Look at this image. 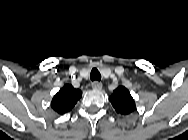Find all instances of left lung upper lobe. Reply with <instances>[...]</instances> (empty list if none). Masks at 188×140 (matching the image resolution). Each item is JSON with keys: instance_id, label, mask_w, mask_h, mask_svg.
<instances>
[{"instance_id": "1", "label": "left lung upper lobe", "mask_w": 188, "mask_h": 140, "mask_svg": "<svg viewBox=\"0 0 188 140\" xmlns=\"http://www.w3.org/2000/svg\"><path fill=\"white\" fill-rule=\"evenodd\" d=\"M109 100L115 111L121 115H129L136 109L134 99L124 86L115 89Z\"/></svg>"}]
</instances>
